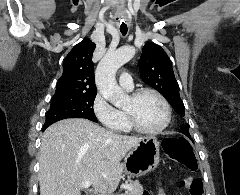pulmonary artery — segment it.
Listing matches in <instances>:
<instances>
[{
	"label": "pulmonary artery",
	"instance_id": "e3ab8cb5",
	"mask_svg": "<svg viewBox=\"0 0 240 195\" xmlns=\"http://www.w3.org/2000/svg\"><path fill=\"white\" fill-rule=\"evenodd\" d=\"M119 83L124 89L131 90L133 88V79L130 77V74H123L119 78Z\"/></svg>",
	"mask_w": 240,
	"mask_h": 195
}]
</instances>
